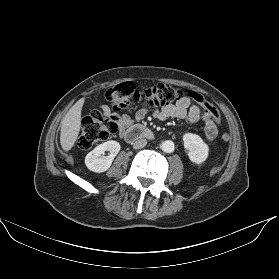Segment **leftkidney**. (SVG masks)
Here are the masks:
<instances>
[{
  "label": "left kidney",
  "instance_id": "1",
  "mask_svg": "<svg viewBox=\"0 0 279 279\" xmlns=\"http://www.w3.org/2000/svg\"><path fill=\"white\" fill-rule=\"evenodd\" d=\"M183 142L191 162L201 164L208 158L209 147L199 135L186 133L183 135Z\"/></svg>",
  "mask_w": 279,
  "mask_h": 279
}]
</instances>
